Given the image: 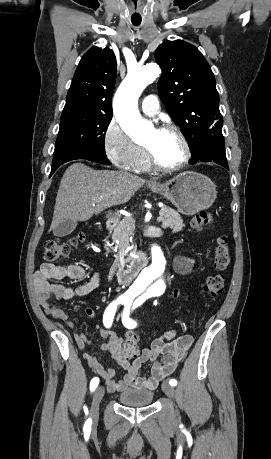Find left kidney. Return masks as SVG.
<instances>
[{"label":"left kidney","mask_w":271,"mask_h":459,"mask_svg":"<svg viewBox=\"0 0 271 459\" xmlns=\"http://www.w3.org/2000/svg\"><path fill=\"white\" fill-rule=\"evenodd\" d=\"M190 265H193V259H189Z\"/></svg>","instance_id":"5707ae66"}]
</instances>
